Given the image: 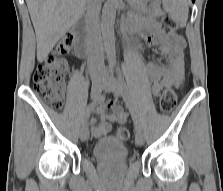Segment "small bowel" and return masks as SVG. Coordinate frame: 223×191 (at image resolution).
Segmentation results:
<instances>
[{
  "label": "small bowel",
  "instance_id": "obj_1",
  "mask_svg": "<svg viewBox=\"0 0 223 191\" xmlns=\"http://www.w3.org/2000/svg\"><path fill=\"white\" fill-rule=\"evenodd\" d=\"M127 29L131 33L139 34L147 44L156 47L166 58L164 63L151 61L147 65L153 94L159 96L164 88L181 85L184 78L185 39L175 32L163 30L155 18L133 20ZM95 113L99 120L89 118V114L84 115V123L90 126L91 135L95 138L105 136L111 130L112 123H125L128 118L127 112L119 103H105L104 100L97 105Z\"/></svg>",
  "mask_w": 223,
  "mask_h": 191
}]
</instances>
